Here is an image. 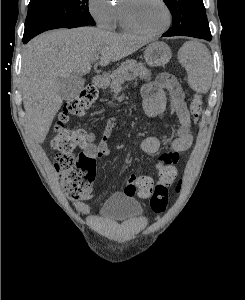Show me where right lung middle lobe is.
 <instances>
[{
	"label": "right lung middle lobe",
	"instance_id": "1",
	"mask_svg": "<svg viewBox=\"0 0 245 300\" xmlns=\"http://www.w3.org/2000/svg\"><path fill=\"white\" fill-rule=\"evenodd\" d=\"M95 25L88 0H30L23 38L50 29Z\"/></svg>",
	"mask_w": 245,
	"mask_h": 300
}]
</instances>
